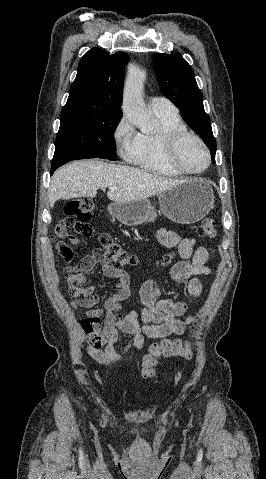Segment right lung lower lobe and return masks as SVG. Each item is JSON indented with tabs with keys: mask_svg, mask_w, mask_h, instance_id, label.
Here are the masks:
<instances>
[{
	"mask_svg": "<svg viewBox=\"0 0 266 479\" xmlns=\"http://www.w3.org/2000/svg\"><path fill=\"white\" fill-rule=\"evenodd\" d=\"M70 160L68 159H53L52 161V166H51V175L54 173V171L62 166L63 164L69 162Z\"/></svg>",
	"mask_w": 266,
	"mask_h": 479,
	"instance_id": "98d812e1",
	"label": "right lung lower lobe"
}]
</instances>
